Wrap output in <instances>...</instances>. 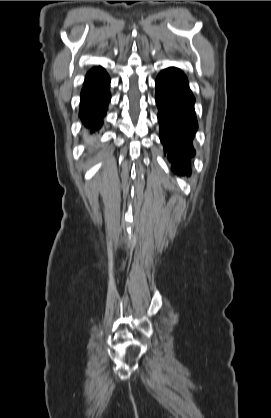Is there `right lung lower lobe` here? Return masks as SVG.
I'll use <instances>...</instances> for the list:
<instances>
[{
  "instance_id": "right-lung-lower-lobe-1",
  "label": "right lung lower lobe",
  "mask_w": 271,
  "mask_h": 418,
  "mask_svg": "<svg viewBox=\"0 0 271 418\" xmlns=\"http://www.w3.org/2000/svg\"><path fill=\"white\" fill-rule=\"evenodd\" d=\"M110 78L101 67L93 68L86 75L81 91L80 119L91 133L102 125L110 101Z\"/></svg>"
}]
</instances>
